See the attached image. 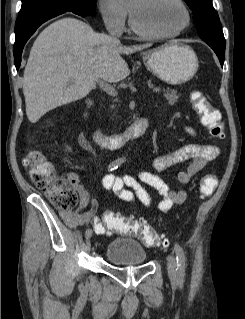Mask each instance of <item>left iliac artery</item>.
<instances>
[{"mask_svg": "<svg viewBox=\"0 0 245 319\" xmlns=\"http://www.w3.org/2000/svg\"><path fill=\"white\" fill-rule=\"evenodd\" d=\"M174 250L176 253V260H177V268H176L177 276L178 278H183L185 275V265H186L185 254L182 247L178 243H175Z\"/></svg>", "mask_w": 245, "mask_h": 319, "instance_id": "left-iliac-artery-1", "label": "left iliac artery"}]
</instances>
